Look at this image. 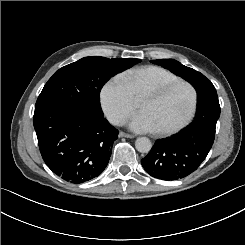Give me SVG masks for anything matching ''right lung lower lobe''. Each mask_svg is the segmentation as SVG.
<instances>
[{
	"mask_svg": "<svg viewBox=\"0 0 245 245\" xmlns=\"http://www.w3.org/2000/svg\"><path fill=\"white\" fill-rule=\"evenodd\" d=\"M33 124L46 165L71 183H83L108 164L118 130L104 117L66 106L34 112Z\"/></svg>",
	"mask_w": 245,
	"mask_h": 245,
	"instance_id": "1",
	"label": "right lung lower lobe"
}]
</instances>
